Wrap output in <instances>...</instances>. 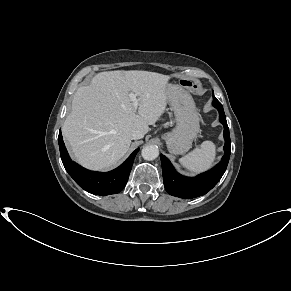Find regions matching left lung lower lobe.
<instances>
[{"label": "left lung lower lobe", "mask_w": 291, "mask_h": 291, "mask_svg": "<svg viewBox=\"0 0 291 291\" xmlns=\"http://www.w3.org/2000/svg\"><path fill=\"white\" fill-rule=\"evenodd\" d=\"M212 104L219 111V119L224 126L225 154L221 162L213 169L196 177H185L180 175L176 172L171 162L161 154L163 182L165 189L170 195L184 199L205 195L218 183L227 168L231 151L229 128L222 104L215 97H213Z\"/></svg>", "instance_id": "1"}]
</instances>
